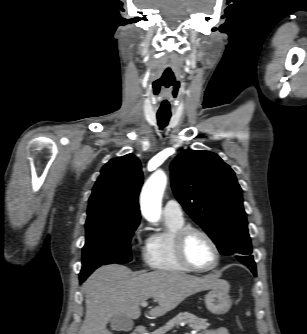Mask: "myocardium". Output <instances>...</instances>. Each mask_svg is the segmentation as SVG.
Returning a JSON list of instances; mask_svg holds the SVG:
<instances>
[{"label":"myocardium","mask_w":307,"mask_h":334,"mask_svg":"<svg viewBox=\"0 0 307 334\" xmlns=\"http://www.w3.org/2000/svg\"><path fill=\"white\" fill-rule=\"evenodd\" d=\"M193 234H199L203 236L213 247L215 252V261L211 266L201 268L191 262L187 253V242ZM174 250L180 263L191 271H212L218 267L221 260V251L214 238L208 232L198 227L184 226L183 228L179 229L174 235Z\"/></svg>","instance_id":"1"}]
</instances>
